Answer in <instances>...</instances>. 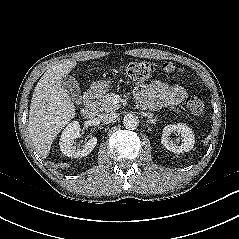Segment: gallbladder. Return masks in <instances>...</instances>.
I'll return each mask as SVG.
<instances>
[{
  "instance_id": "gallbladder-1",
  "label": "gallbladder",
  "mask_w": 239,
  "mask_h": 239,
  "mask_svg": "<svg viewBox=\"0 0 239 239\" xmlns=\"http://www.w3.org/2000/svg\"><path fill=\"white\" fill-rule=\"evenodd\" d=\"M61 86L67 92L69 98L73 102H75L77 104L81 103V100H82L81 90L79 87V83L77 82V80L74 77H72L70 75L64 76L62 79Z\"/></svg>"
}]
</instances>
